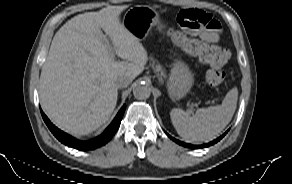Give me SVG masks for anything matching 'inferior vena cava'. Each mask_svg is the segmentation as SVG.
<instances>
[{
	"mask_svg": "<svg viewBox=\"0 0 292 184\" xmlns=\"http://www.w3.org/2000/svg\"><path fill=\"white\" fill-rule=\"evenodd\" d=\"M131 83V79L128 77H120L116 81L117 88H125Z\"/></svg>",
	"mask_w": 292,
	"mask_h": 184,
	"instance_id": "602c4592",
	"label": "inferior vena cava"
}]
</instances>
